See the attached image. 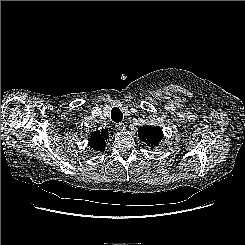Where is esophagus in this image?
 Masks as SVG:
<instances>
[{"mask_svg": "<svg viewBox=\"0 0 245 245\" xmlns=\"http://www.w3.org/2000/svg\"><path fill=\"white\" fill-rule=\"evenodd\" d=\"M116 127L118 128V130L120 131H124L125 130V124L123 122L117 123Z\"/></svg>", "mask_w": 245, "mask_h": 245, "instance_id": "34e87169", "label": "esophagus"}]
</instances>
